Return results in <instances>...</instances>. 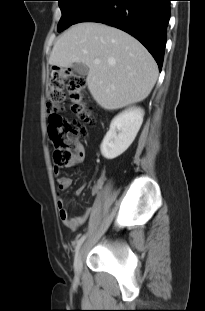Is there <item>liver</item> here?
Returning <instances> with one entry per match:
<instances>
[{
	"label": "liver",
	"instance_id": "6515ba94",
	"mask_svg": "<svg viewBox=\"0 0 205 311\" xmlns=\"http://www.w3.org/2000/svg\"><path fill=\"white\" fill-rule=\"evenodd\" d=\"M74 63L88 67V89L107 110L144 100L158 77L154 58L137 39L98 22L73 25L54 44L50 65L66 68Z\"/></svg>",
	"mask_w": 205,
	"mask_h": 311
}]
</instances>
